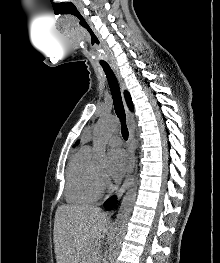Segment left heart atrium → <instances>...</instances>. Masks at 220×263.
Listing matches in <instances>:
<instances>
[{"label":"left heart atrium","mask_w":220,"mask_h":263,"mask_svg":"<svg viewBox=\"0 0 220 263\" xmlns=\"http://www.w3.org/2000/svg\"><path fill=\"white\" fill-rule=\"evenodd\" d=\"M128 157L122 149H114L109 153L108 177L119 180L128 169Z\"/></svg>","instance_id":"obj_1"}]
</instances>
